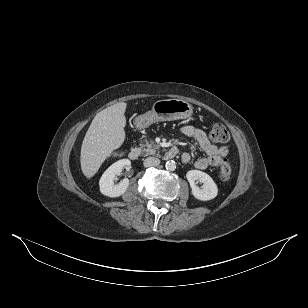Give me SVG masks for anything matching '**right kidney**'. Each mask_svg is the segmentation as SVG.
<instances>
[{
    "mask_svg": "<svg viewBox=\"0 0 308 308\" xmlns=\"http://www.w3.org/2000/svg\"><path fill=\"white\" fill-rule=\"evenodd\" d=\"M131 164L129 159H122L112 164L102 175L99 181L100 192L108 197H119L125 193L129 186V179L124 178L118 184L114 183L115 176L122 171L124 167Z\"/></svg>",
    "mask_w": 308,
    "mask_h": 308,
    "instance_id": "1",
    "label": "right kidney"
}]
</instances>
